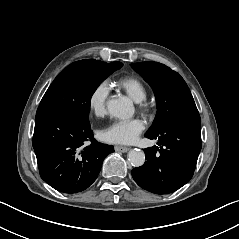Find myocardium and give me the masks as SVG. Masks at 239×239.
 I'll list each match as a JSON object with an SVG mask.
<instances>
[{"label":"myocardium","mask_w":239,"mask_h":239,"mask_svg":"<svg viewBox=\"0 0 239 239\" xmlns=\"http://www.w3.org/2000/svg\"><path fill=\"white\" fill-rule=\"evenodd\" d=\"M140 108L145 111V112H149L150 111V105L145 102V101H141L140 102Z\"/></svg>","instance_id":"1"}]
</instances>
